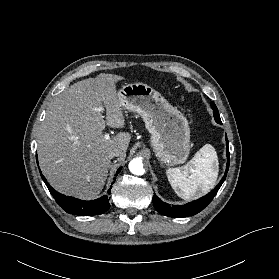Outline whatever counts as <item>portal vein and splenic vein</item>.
<instances>
[{
	"label": "portal vein and splenic vein",
	"instance_id": "18ae733b",
	"mask_svg": "<svg viewBox=\"0 0 279 279\" xmlns=\"http://www.w3.org/2000/svg\"><path fill=\"white\" fill-rule=\"evenodd\" d=\"M99 110H100V111H103V108H100ZM104 139H106V140H109V139H110L109 133H105V134H104Z\"/></svg>",
	"mask_w": 279,
	"mask_h": 279
}]
</instances>
